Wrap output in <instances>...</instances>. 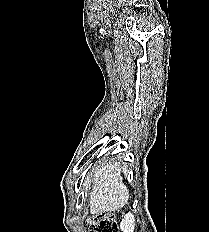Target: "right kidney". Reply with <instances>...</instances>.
I'll use <instances>...</instances> for the list:
<instances>
[{"mask_svg":"<svg viewBox=\"0 0 209 232\" xmlns=\"http://www.w3.org/2000/svg\"><path fill=\"white\" fill-rule=\"evenodd\" d=\"M120 229L122 232H134L135 218L132 213H128L124 216L120 223Z\"/></svg>","mask_w":209,"mask_h":232,"instance_id":"obj_1","label":"right kidney"}]
</instances>
